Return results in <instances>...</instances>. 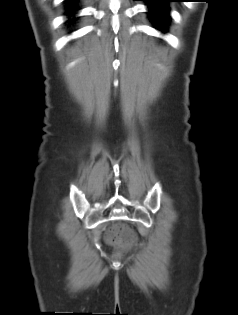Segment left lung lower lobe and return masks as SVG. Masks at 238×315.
Returning a JSON list of instances; mask_svg holds the SVG:
<instances>
[{
	"mask_svg": "<svg viewBox=\"0 0 238 315\" xmlns=\"http://www.w3.org/2000/svg\"><path fill=\"white\" fill-rule=\"evenodd\" d=\"M148 3L149 18L158 30L167 31L170 22L168 2L175 0H141Z\"/></svg>",
	"mask_w": 238,
	"mask_h": 315,
	"instance_id": "1",
	"label": "left lung lower lobe"
}]
</instances>
